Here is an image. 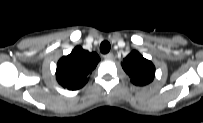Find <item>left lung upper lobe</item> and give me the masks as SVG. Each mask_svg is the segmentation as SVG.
I'll return each mask as SVG.
<instances>
[{
  "mask_svg": "<svg viewBox=\"0 0 203 123\" xmlns=\"http://www.w3.org/2000/svg\"><path fill=\"white\" fill-rule=\"evenodd\" d=\"M122 67L135 85L143 86L154 79L155 66L135 50L123 60Z\"/></svg>",
  "mask_w": 203,
  "mask_h": 123,
  "instance_id": "left-lung-upper-lobe-1",
  "label": "left lung upper lobe"
}]
</instances>
